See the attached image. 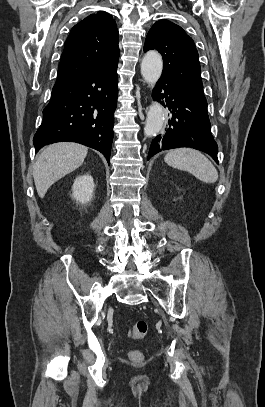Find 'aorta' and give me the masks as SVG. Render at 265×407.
<instances>
[{"label": "aorta", "mask_w": 265, "mask_h": 407, "mask_svg": "<svg viewBox=\"0 0 265 407\" xmlns=\"http://www.w3.org/2000/svg\"><path fill=\"white\" fill-rule=\"evenodd\" d=\"M163 61L156 51L147 52L141 63V74L149 87L153 88L162 74ZM164 110L160 103L154 101L147 113L144 134L146 137L155 136L163 127Z\"/></svg>", "instance_id": "1"}]
</instances>
